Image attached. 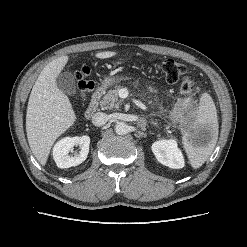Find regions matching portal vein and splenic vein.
<instances>
[{"label":"portal vein and splenic vein","mask_w":247,"mask_h":247,"mask_svg":"<svg viewBox=\"0 0 247 247\" xmlns=\"http://www.w3.org/2000/svg\"><path fill=\"white\" fill-rule=\"evenodd\" d=\"M120 92L123 94L124 98H126L128 96L127 89H121Z\"/></svg>","instance_id":"1"}]
</instances>
